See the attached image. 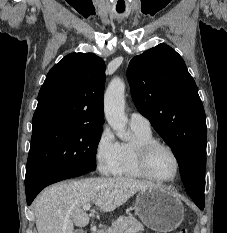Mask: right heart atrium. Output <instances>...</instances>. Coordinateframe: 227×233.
<instances>
[{"label": "right heart atrium", "instance_id": "1", "mask_svg": "<svg viewBox=\"0 0 227 233\" xmlns=\"http://www.w3.org/2000/svg\"><path fill=\"white\" fill-rule=\"evenodd\" d=\"M94 158L99 172L114 175L120 163V144L108 126H104L94 146Z\"/></svg>", "mask_w": 227, "mask_h": 233}]
</instances>
